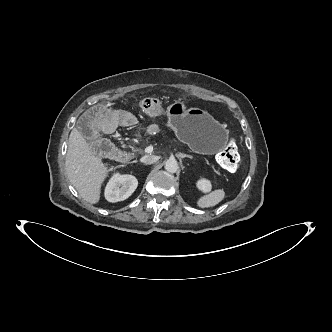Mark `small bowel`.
Returning a JSON list of instances; mask_svg holds the SVG:
<instances>
[{
  "label": "small bowel",
  "instance_id": "small-bowel-1",
  "mask_svg": "<svg viewBox=\"0 0 332 332\" xmlns=\"http://www.w3.org/2000/svg\"><path fill=\"white\" fill-rule=\"evenodd\" d=\"M139 108L141 111L147 112L151 118L159 117L163 113L162 105L153 98L141 100ZM116 121L123 126H129L133 122V117L123 111H113L110 103L101 101L93 104L90 109L83 111L81 115L77 116L74 126L77 131L81 132L84 141L93 143L102 136L101 122H105L104 129L106 131H112L116 128Z\"/></svg>",
  "mask_w": 332,
  "mask_h": 332
}]
</instances>
